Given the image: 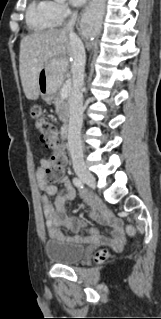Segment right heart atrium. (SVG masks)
<instances>
[{"instance_id":"right-heart-atrium-1","label":"right heart atrium","mask_w":161,"mask_h":319,"mask_svg":"<svg viewBox=\"0 0 161 319\" xmlns=\"http://www.w3.org/2000/svg\"><path fill=\"white\" fill-rule=\"evenodd\" d=\"M57 23L60 25L71 13L70 7L63 2H52Z\"/></svg>"}]
</instances>
